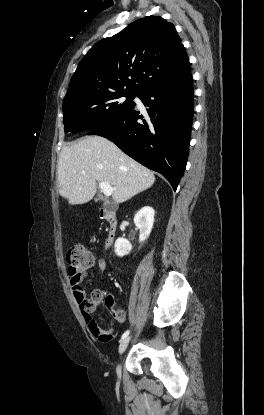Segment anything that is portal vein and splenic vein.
Masks as SVG:
<instances>
[{
    "instance_id": "1",
    "label": "portal vein and splenic vein",
    "mask_w": 264,
    "mask_h": 415,
    "mask_svg": "<svg viewBox=\"0 0 264 415\" xmlns=\"http://www.w3.org/2000/svg\"><path fill=\"white\" fill-rule=\"evenodd\" d=\"M99 188L105 196H111L114 191V188L109 183H106V182H100Z\"/></svg>"
}]
</instances>
